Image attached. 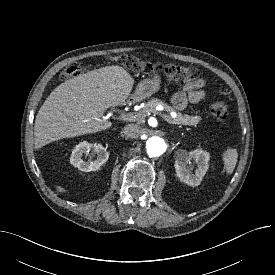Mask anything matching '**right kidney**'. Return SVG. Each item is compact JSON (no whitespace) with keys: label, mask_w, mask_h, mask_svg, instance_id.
<instances>
[{"label":"right kidney","mask_w":275,"mask_h":275,"mask_svg":"<svg viewBox=\"0 0 275 275\" xmlns=\"http://www.w3.org/2000/svg\"><path fill=\"white\" fill-rule=\"evenodd\" d=\"M91 149L93 152L90 159L87 161L83 160L82 155L85 153L88 154ZM95 155H97V158L92 160V157ZM108 158L109 153L101 144H90L86 141H83L76 145V147L73 149L70 157V163L74 167H77L80 171L90 172L98 170L101 165L106 163Z\"/></svg>","instance_id":"1"}]
</instances>
